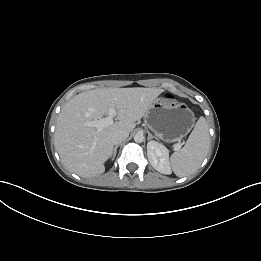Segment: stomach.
I'll use <instances>...</instances> for the list:
<instances>
[{"instance_id": "1", "label": "stomach", "mask_w": 261, "mask_h": 261, "mask_svg": "<svg viewBox=\"0 0 261 261\" xmlns=\"http://www.w3.org/2000/svg\"><path fill=\"white\" fill-rule=\"evenodd\" d=\"M145 122L158 138L172 143L181 140L190 132L194 127L195 115L184 103L157 98L145 114Z\"/></svg>"}]
</instances>
